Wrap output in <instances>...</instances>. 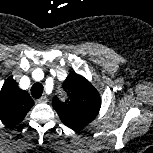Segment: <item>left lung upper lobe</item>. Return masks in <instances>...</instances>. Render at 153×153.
I'll use <instances>...</instances> for the list:
<instances>
[{"label":"left lung upper lobe","mask_w":153,"mask_h":153,"mask_svg":"<svg viewBox=\"0 0 153 153\" xmlns=\"http://www.w3.org/2000/svg\"><path fill=\"white\" fill-rule=\"evenodd\" d=\"M63 89L67 92L68 100L62 102L58 97L52 100L61 121L73 130L91 123L101 106V98L96 88L81 75L71 72Z\"/></svg>","instance_id":"obj_1"}]
</instances>
